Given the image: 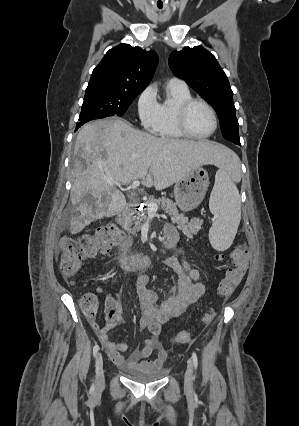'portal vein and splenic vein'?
Returning <instances> with one entry per match:
<instances>
[{"mask_svg": "<svg viewBox=\"0 0 299 426\" xmlns=\"http://www.w3.org/2000/svg\"><path fill=\"white\" fill-rule=\"evenodd\" d=\"M110 183L111 184H115V185H119L118 183H113V182H110ZM139 185H140V181L139 180H135V181L132 182L130 188L136 189ZM157 210H158V205L157 204H155V203L148 204V211H149V213L156 214Z\"/></svg>", "mask_w": 299, "mask_h": 426, "instance_id": "obj_1", "label": "portal vein and splenic vein"}]
</instances>
